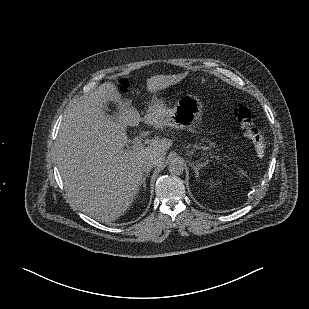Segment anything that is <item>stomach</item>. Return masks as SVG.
<instances>
[{
    "label": "stomach",
    "mask_w": 309,
    "mask_h": 309,
    "mask_svg": "<svg viewBox=\"0 0 309 309\" xmlns=\"http://www.w3.org/2000/svg\"><path fill=\"white\" fill-rule=\"evenodd\" d=\"M203 105L196 97L180 98L176 105L165 113L164 124L174 127L194 126L202 117Z\"/></svg>",
    "instance_id": "0dacf381"
}]
</instances>
